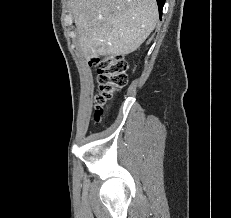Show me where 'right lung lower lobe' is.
<instances>
[{"label": "right lung lower lobe", "mask_w": 231, "mask_h": 218, "mask_svg": "<svg viewBox=\"0 0 231 218\" xmlns=\"http://www.w3.org/2000/svg\"><path fill=\"white\" fill-rule=\"evenodd\" d=\"M156 1H157V4H158L159 13H160V17H161V15H162V9H163L165 0H156Z\"/></svg>", "instance_id": "1"}]
</instances>
